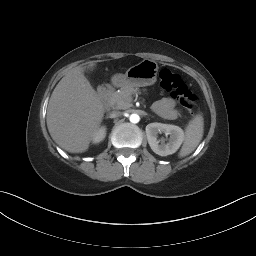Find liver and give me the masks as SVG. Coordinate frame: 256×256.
I'll use <instances>...</instances> for the list:
<instances>
[{
    "label": "liver",
    "instance_id": "1",
    "mask_svg": "<svg viewBox=\"0 0 256 256\" xmlns=\"http://www.w3.org/2000/svg\"><path fill=\"white\" fill-rule=\"evenodd\" d=\"M95 66L94 62L88 65ZM78 66L66 73L56 85L47 108V127L52 139L65 151L88 150L104 116L97 92Z\"/></svg>",
    "mask_w": 256,
    "mask_h": 256
}]
</instances>
